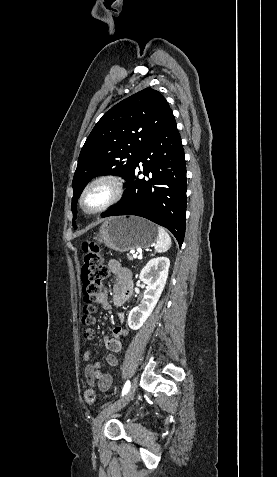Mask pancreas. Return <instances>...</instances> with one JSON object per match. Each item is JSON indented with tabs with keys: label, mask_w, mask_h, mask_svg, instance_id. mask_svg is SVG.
Here are the masks:
<instances>
[{
	"label": "pancreas",
	"mask_w": 277,
	"mask_h": 477,
	"mask_svg": "<svg viewBox=\"0 0 277 477\" xmlns=\"http://www.w3.org/2000/svg\"><path fill=\"white\" fill-rule=\"evenodd\" d=\"M127 257L129 260H133V257L130 254H128Z\"/></svg>",
	"instance_id": "pancreas-1"
}]
</instances>
